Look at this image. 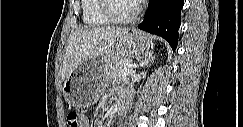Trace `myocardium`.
Masks as SVG:
<instances>
[{
	"label": "myocardium",
	"instance_id": "1",
	"mask_svg": "<svg viewBox=\"0 0 243 127\" xmlns=\"http://www.w3.org/2000/svg\"><path fill=\"white\" fill-rule=\"evenodd\" d=\"M112 1L113 0H101L102 12L110 20V22L129 23V22L134 21L141 12V7L139 6V4L133 2V5H134L133 12L128 16H119V15L115 14L112 9V5H111Z\"/></svg>",
	"mask_w": 243,
	"mask_h": 127
}]
</instances>
